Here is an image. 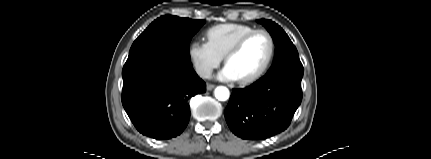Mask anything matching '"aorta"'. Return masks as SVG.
<instances>
[{"mask_svg":"<svg viewBox=\"0 0 431 159\" xmlns=\"http://www.w3.org/2000/svg\"><path fill=\"white\" fill-rule=\"evenodd\" d=\"M214 94H215V97L219 101H226L230 96V92H229L228 88H226L224 86H218L215 89Z\"/></svg>","mask_w":431,"mask_h":159,"instance_id":"obj_1","label":"aorta"}]
</instances>
